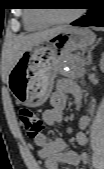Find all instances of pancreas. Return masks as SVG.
Wrapping results in <instances>:
<instances>
[{
  "label": "pancreas",
  "mask_w": 104,
  "mask_h": 169,
  "mask_svg": "<svg viewBox=\"0 0 104 169\" xmlns=\"http://www.w3.org/2000/svg\"><path fill=\"white\" fill-rule=\"evenodd\" d=\"M63 66H68L71 71L62 72L66 76H83L84 60L79 55H67L63 60Z\"/></svg>",
  "instance_id": "1"
}]
</instances>
